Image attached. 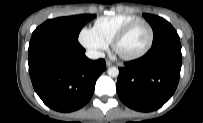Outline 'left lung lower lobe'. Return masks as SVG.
Masks as SVG:
<instances>
[{
  "mask_svg": "<svg viewBox=\"0 0 203 123\" xmlns=\"http://www.w3.org/2000/svg\"><path fill=\"white\" fill-rule=\"evenodd\" d=\"M119 68L117 92L128 107L143 112L162 107L174 94L182 65L179 36L156 45Z\"/></svg>",
  "mask_w": 203,
  "mask_h": 123,
  "instance_id": "left-lung-lower-lobe-1",
  "label": "left lung lower lobe"
}]
</instances>
